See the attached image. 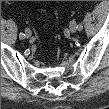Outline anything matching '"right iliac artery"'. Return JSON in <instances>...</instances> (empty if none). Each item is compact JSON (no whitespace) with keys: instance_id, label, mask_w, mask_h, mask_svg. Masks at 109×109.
Listing matches in <instances>:
<instances>
[{"instance_id":"right-iliac-artery-1","label":"right iliac artery","mask_w":109,"mask_h":109,"mask_svg":"<svg viewBox=\"0 0 109 109\" xmlns=\"http://www.w3.org/2000/svg\"><path fill=\"white\" fill-rule=\"evenodd\" d=\"M19 37H20L21 39H23V38H25V34H24V33H20V34H19Z\"/></svg>"}]
</instances>
